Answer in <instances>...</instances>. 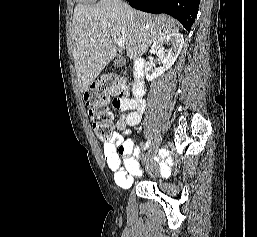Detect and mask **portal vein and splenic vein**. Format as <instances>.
<instances>
[{
  "instance_id": "1",
  "label": "portal vein and splenic vein",
  "mask_w": 257,
  "mask_h": 237,
  "mask_svg": "<svg viewBox=\"0 0 257 237\" xmlns=\"http://www.w3.org/2000/svg\"><path fill=\"white\" fill-rule=\"evenodd\" d=\"M114 43H116L120 48H124L125 46V41L121 38H116L113 40Z\"/></svg>"
}]
</instances>
